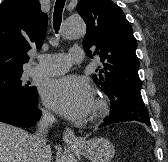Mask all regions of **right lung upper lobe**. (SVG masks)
<instances>
[{
	"label": "right lung upper lobe",
	"mask_w": 168,
	"mask_h": 162,
	"mask_svg": "<svg viewBox=\"0 0 168 162\" xmlns=\"http://www.w3.org/2000/svg\"><path fill=\"white\" fill-rule=\"evenodd\" d=\"M48 17L38 0H5L0 4V75L22 72L27 51L39 49Z\"/></svg>",
	"instance_id": "cb5924a9"
}]
</instances>
